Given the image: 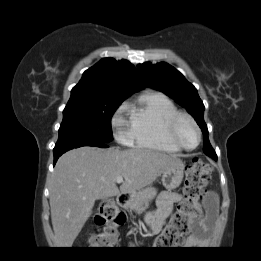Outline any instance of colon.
I'll use <instances>...</instances> for the list:
<instances>
[{
  "instance_id": "1",
  "label": "colon",
  "mask_w": 261,
  "mask_h": 261,
  "mask_svg": "<svg viewBox=\"0 0 261 261\" xmlns=\"http://www.w3.org/2000/svg\"><path fill=\"white\" fill-rule=\"evenodd\" d=\"M212 168L195 158L186 168L184 200L178 205L170 222L155 239L154 246L170 248L179 245L189 233L199 214L198 202L203 198L211 179ZM126 221L125 214L118 210L111 199L102 202L95 215L96 228L89 235V244L94 248H110L116 244L117 228Z\"/></svg>"
}]
</instances>
